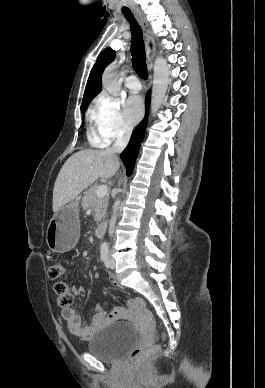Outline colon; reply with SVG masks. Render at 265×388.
<instances>
[{
  "label": "colon",
  "mask_w": 265,
  "mask_h": 388,
  "mask_svg": "<svg viewBox=\"0 0 265 388\" xmlns=\"http://www.w3.org/2000/svg\"><path fill=\"white\" fill-rule=\"evenodd\" d=\"M64 272L65 269L59 261H54L48 269L49 278L55 281L53 289L57 295V304L63 309L70 308L74 303L72 287L62 279ZM156 349V346L146 349L137 347L131 352L130 359L132 361H139L142 357L154 352Z\"/></svg>",
  "instance_id": "5ec220e1"
}]
</instances>
